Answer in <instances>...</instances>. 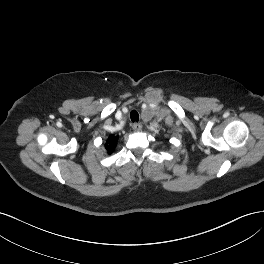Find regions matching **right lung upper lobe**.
I'll use <instances>...</instances> for the list:
<instances>
[{"mask_svg":"<svg viewBox=\"0 0 264 264\" xmlns=\"http://www.w3.org/2000/svg\"><path fill=\"white\" fill-rule=\"evenodd\" d=\"M118 137L111 135L106 142L105 148L109 153H112L117 145Z\"/></svg>","mask_w":264,"mask_h":264,"instance_id":"cb5924a9","label":"right lung upper lobe"}]
</instances>
